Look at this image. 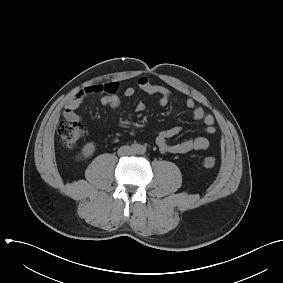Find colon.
Returning <instances> with one entry per match:
<instances>
[{"label": "colon", "mask_w": 283, "mask_h": 283, "mask_svg": "<svg viewBox=\"0 0 283 283\" xmlns=\"http://www.w3.org/2000/svg\"><path fill=\"white\" fill-rule=\"evenodd\" d=\"M58 135L61 139V143L65 148H74L78 141L85 135V126L79 122H61L58 126ZM216 165V159L212 156H206L202 160V166L204 168H214Z\"/></svg>", "instance_id": "obj_1"}]
</instances>
